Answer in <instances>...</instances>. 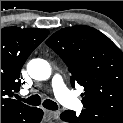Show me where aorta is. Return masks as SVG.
I'll use <instances>...</instances> for the list:
<instances>
[{
    "label": "aorta",
    "mask_w": 123,
    "mask_h": 123,
    "mask_svg": "<svg viewBox=\"0 0 123 123\" xmlns=\"http://www.w3.org/2000/svg\"><path fill=\"white\" fill-rule=\"evenodd\" d=\"M27 72L35 80H47L51 76V67L46 60L36 58L28 62Z\"/></svg>",
    "instance_id": "1"
}]
</instances>
